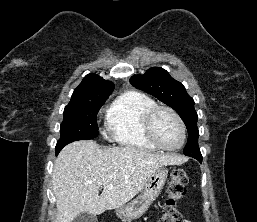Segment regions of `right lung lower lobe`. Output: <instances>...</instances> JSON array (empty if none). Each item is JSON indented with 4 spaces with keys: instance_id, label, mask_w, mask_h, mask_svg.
<instances>
[{
    "instance_id": "98d812e1",
    "label": "right lung lower lobe",
    "mask_w": 257,
    "mask_h": 222,
    "mask_svg": "<svg viewBox=\"0 0 257 222\" xmlns=\"http://www.w3.org/2000/svg\"><path fill=\"white\" fill-rule=\"evenodd\" d=\"M60 151H56V155L59 153Z\"/></svg>"
}]
</instances>
